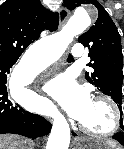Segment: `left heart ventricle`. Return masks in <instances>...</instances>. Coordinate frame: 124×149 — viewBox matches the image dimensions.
<instances>
[{"label": "left heart ventricle", "instance_id": "1", "mask_svg": "<svg viewBox=\"0 0 124 149\" xmlns=\"http://www.w3.org/2000/svg\"><path fill=\"white\" fill-rule=\"evenodd\" d=\"M79 121L95 132L104 133L113 125L112 111L106 103L93 100L85 116Z\"/></svg>", "mask_w": 124, "mask_h": 149}]
</instances>
